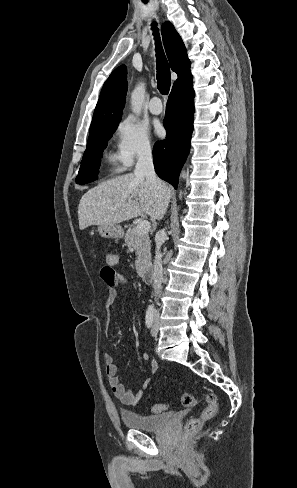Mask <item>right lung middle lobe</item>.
I'll return each mask as SVG.
<instances>
[{"label":"right lung middle lobe","instance_id":"dd1d6c3e","mask_svg":"<svg viewBox=\"0 0 297 488\" xmlns=\"http://www.w3.org/2000/svg\"><path fill=\"white\" fill-rule=\"evenodd\" d=\"M116 125L100 126L90 132L87 148L81 161L77 184H86L97 179L102 153L106 147V142L113 135Z\"/></svg>","mask_w":297,"mask_h":488}]
</instances>
